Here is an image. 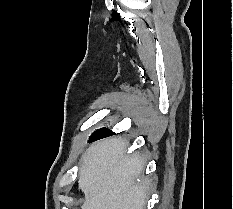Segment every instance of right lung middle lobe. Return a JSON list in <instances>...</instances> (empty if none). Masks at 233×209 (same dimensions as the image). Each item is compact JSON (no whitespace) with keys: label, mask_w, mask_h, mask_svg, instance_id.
Wrapping results in <instances>:
<instances>
[{"label":"right lung middle lobe","mask_w":233,"mask_h":209,"mask_svg":"<svg viewBox=\"0 0 233 209\" xmlns=\"http://www.w3.org/2000/svg\"><path fill=\"white\" fill-rule=\"evenodd\" d=\"M106 128H103V129H99V130H97L96 132H99V131H102V130H105Z\"/></svg>","instance_id":"right-lung-middle-lobe-1"}]
</instances>
